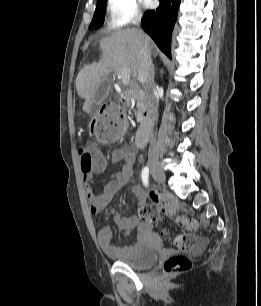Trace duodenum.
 <instances>
[{
  "label": "duodenum",
  "instance_id": "410a0bca",
  "mask_svg": "<svg viewBox=\"0 0 261 306\" xmlns=\"http://www.w3.org/2000/svg\"><path fill=\"white\" fill-rule=\"evenodd\" d=\"M143 98H144V93L138 88L127 89L121 94L122 102H127L130 99H143ZM152 128H153V115H152V110L149 108L135 136V145L138 148H141L145 145Z\"/></svg>",
  "mask_w": 261,
  "mask_h": 306
}]
</instances>
